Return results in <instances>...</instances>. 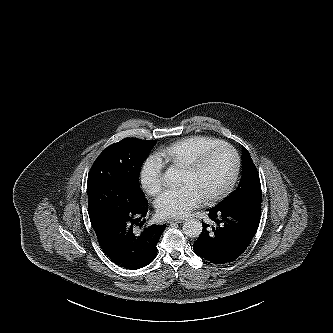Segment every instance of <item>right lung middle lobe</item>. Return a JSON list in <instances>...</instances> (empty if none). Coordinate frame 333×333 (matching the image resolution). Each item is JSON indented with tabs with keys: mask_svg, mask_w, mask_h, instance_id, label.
I'll list each match as a JSON object with an SVG mask.
<instances>
[{
	"mask_svg": "<svg viewBox=\"0 0 333 333\" xmlns=\"http://www.w3.org/2000/svg\"><path fill=\"white\" fill-rule=\"evenodd\" d=\"M155 144L154 140L125 138L98 156L87 180L91 223L107 217H128L147 204L139 174Z\"/></svg>",
	"mask_w": 333,
	"mask_h": 333,
	"instance_id": "1",
	"label": "right lung middle lobe"
}]
</instances>
